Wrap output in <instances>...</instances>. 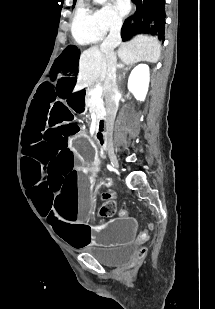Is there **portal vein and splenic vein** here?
I'll return each instance as SVG.
<instances>
[{
    "label": "portal vein and splenic vein",
    "instance_id": "portal-vein-and-splenic-vein-1",
    "mask_svg": "<svg viewBox=\"0 0 215 309\" xmlns=\"http://www.w3.org/2000/svg\"><path fill=\"white\" fill-rule=\"evenodd\" d=\"M93 96H101L102 94V86H96L92 92Z\"/></svg>",
    "mask_w": 215,
    "mask_h": 309
}]
</instances>
